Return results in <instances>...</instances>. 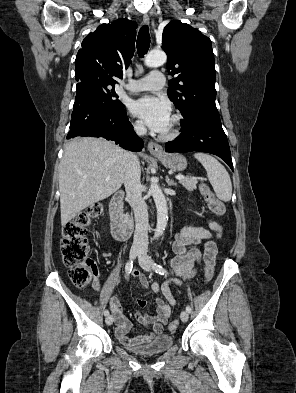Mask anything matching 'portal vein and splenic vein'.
Returning <instances> with one entry per match:
<instances>
[{"label":"portal vein and splenic vein","mask_w":296,"mask_h":393,"mask_svg":"<svg viewBox=\"0 0 296 393\" xmlns=\"http://www.w3.org/2000/svg\"><path fill=\"white\" fill-rule=\"evenodd\" d=\"M175 178L178 180L185 179V177L183 175H177ZM109 180H110V177H106V181H109Z\"/></svg>","instance_id":"obj_1"}]
</instances>
